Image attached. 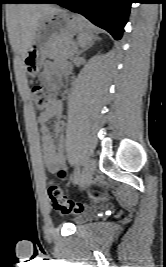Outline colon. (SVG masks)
I'll list each match as a JSON object with an SVG mask.
<instances>
[{
    "instance_id": "colon-1",
    "label": "colon",
    "mask_w": 166,
    "mask_h": 267,
    "mask_svg": "<svg viewBox=\"0 0 166 267\" xmlns=\"http://www.w3.org/2000/svg\"><path fill=\"white\" fill-rule=\"evenodd\" d=\"M31 97L36 110L43 112L55 103L53 93L46 90L43 86L35 85L31 88ZM49 199L57 211L63 214L82 213L86 206L81 202L69 199L62 189L54 182H49L47 186Z\"/></svg>"
}]
</instances>
